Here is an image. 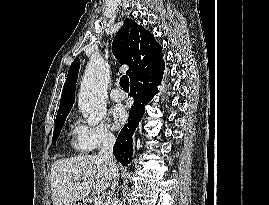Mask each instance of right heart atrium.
Segmentation results:
<instances>
[{"label": "right heart atrium", "instance_id": "right-heart-atrium-1", "mask_svg": "<svg viewBox=\"0 0 269 205\" xmlns=\"http://www.w3.org/2000/svg\"><path fill=\"white\" fill-rule=\"evenodd\" d=\"M74 133L78 145L87 151L97 150L115 140V135L106 122L95 126L79 123Z\"/></svg>", "mask_w": 269, "mask_h": 205}]
</instances>
